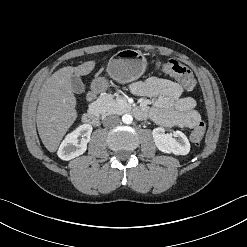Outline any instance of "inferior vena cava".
<instances>
[{
	"label": "inferior vena cava",
	"instance_id": "1",
	"mask_svg": "<svg viewBox=\"0 0 247 247\" xmlns=\"http://www.w3.org/2000/svg\"><path fill=\"white\" fill-rule=\"evenodd\" d=\"M120 118L118 116L112 115L108 116L103 120V125L106 127L114 126L120 123Z\"/></svg>",
	"mask_w": 247,
	"mask_h": 247
}]
</instances>
